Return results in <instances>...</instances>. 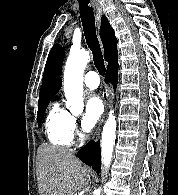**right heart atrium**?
Segmentation results:
<instances>
[{"mask_svg":"<svg viewBox=\"0 0 178 195\" xmlns=\"http://www.w3.org/2000/svg\"><path fill=\"white\" fill-rule=\"evenodd\" d=\"M70 128H71V133H72L73 137H75V138H80L81 137V133L78 130V126H77V121L74 117H72V119H71Z\"/></svg>","mask_w":178,"mask_h":195,"instance_id":"right-heart-atrium-1","label":"right heart atrium"}]
</instances>
